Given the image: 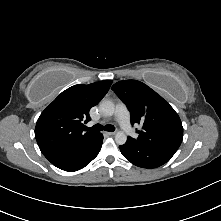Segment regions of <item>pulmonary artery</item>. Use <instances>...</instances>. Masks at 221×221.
Listing matches in <instances>:
<instances>
[{"label":"pulmonary artery","mask_w":221,"mask_h":221,"mask_svg":"<svg viewBox=\"0 0 221 221\" xmlns=\"http://www.w3.org/2000/svg\"><path fill=\"white\" fill-rule=\"evenodd\" d=\"M116 119L121 128L129 135L133 134V128L130 122V112L125 104L118 103L116 106Z\"/></svg>","instance_id":"obj_1"}]
</instances>
